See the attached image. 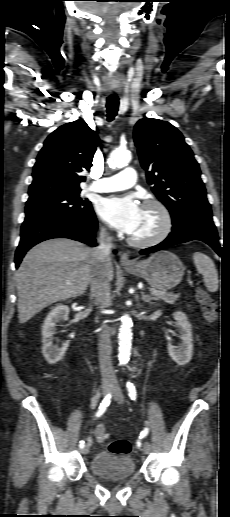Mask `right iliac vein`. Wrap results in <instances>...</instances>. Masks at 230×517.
<instances>
[{
	"label": "right iliac vein",
	"mask_w": 230,
	"mask_h": 517,
	"mask_svg": "<svg viewBox=\"0 0 230 517\" xmlns=\"http://www.w3.org/2000/svg\"><path fill=\"white\" fill-rule=\"evenodd\" d=\"M111 388H110V384H105L103 387H102V395L103 396H106L109 392H110ZM89 452V445H85L82 449H81V453L86 455L88 454Z\"/></svg>",
	"instance_id": "right-iliac-vein-1"
}]
</instances>
